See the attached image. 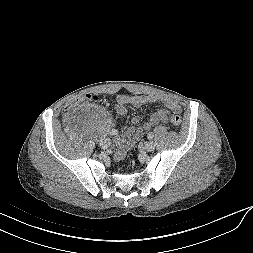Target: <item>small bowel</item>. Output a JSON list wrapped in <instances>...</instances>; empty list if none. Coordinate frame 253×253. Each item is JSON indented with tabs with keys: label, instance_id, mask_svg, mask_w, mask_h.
<instances>
[{
	"label": "small bowel",
	"instance_id": "obj_1",
	"mask_svg": "<svg viewBox=\"0 0 253 253\" xmlns=\"http://www.w3.org/2000/svg\"><path fill=\"white\" fill-rule=\"evenodd\" d=\"M117 102V113L120 117L125 115L126 105L141 108L151 103H161L164 109L152 114L149 120L139 127L136 125L140 123V117L137 115L132 117L131 126L126 128L123 135L116 140L118 150L114 155L115 161H121L135 141L141 138L152 126L165 123L169 112L179 113L181 111V105L176 99L160 95H119Z\"/></svg>",
	"mask_w": 253,
	"mask_h": 253
}]
</instances>
